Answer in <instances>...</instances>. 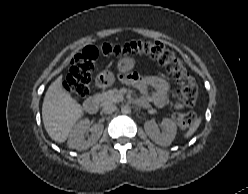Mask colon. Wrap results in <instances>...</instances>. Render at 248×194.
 Listing matches in <instances>:
<instances>
[{
    "mask_svg": "<svg viewBox=\"0 0 248 194\" xmlns=\"http://www.w3.org/2000/svg\"><path fill=\"white\" fill-rule=\"evenodd\" d=\"M99 54L113 57L146 54L153 57L177 80L179 85L177 94L183 103L188 107L195 106L198 99V86L194 78L171 49L161 42L151 40L132 41L119 45L102 43L98 46L85 47L73 57L69 74L64 80L66 91L74 99H81L88 95ZM195 119L196 115L192 111L175 115V121L181 129L191 128Z\"/></svg>",
    "mask_w": 248,
    "mask_h": 194,
    "instance_id": "obj_1",
    "label": "colon"
}]
</instances>
